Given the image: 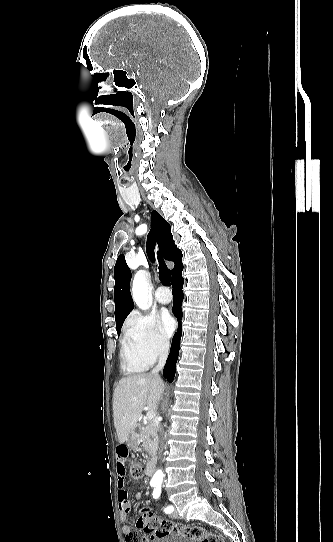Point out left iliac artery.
<instances>
[{
	"label": "left iliac artery",
	"mask_w": 333,
	"mask_h": 542,
	"mask_svg": "<svg viewBox=\"0 0 333 542\" xmlns=\"http://www.w3.org/2000/svg\"><path fill=\"white\" fill-rule=\"evenodd\" d=\"M161 494V483H158L157 485H155V488H154V491H153V498L157 499L159 498ZM174 510V508L172 506H168L167 508L164 509V512L166 514H169V513H172Z\"/></svg>",
	"instance_id": "44dca946"
}]
</instances>
